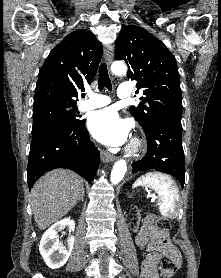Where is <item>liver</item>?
<instances>
[{"instance_id": "6515ba94", "label": "liver", "mask_w": 221, "mask_h": 278, "mask_svg": "<svg viewBox=\"0 0 221 278\" xmlns=\"http://www.w3.org/2000/svg\"><path fill=\"white\" fill-rule=\"evenodd\" d=\"M84 187L81 177L66 169L46 173L31 190V209L39 229L63 218L77 203Z\"/></svg>"}]
</instances>
